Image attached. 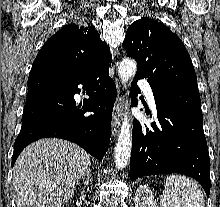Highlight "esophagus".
I'll return each instance as SVG.
<instances>
[{
  "label": "esophagus",
  "instance_id": "obj_1",
  "mask_svg": "<svg viewBox=\"0 0 220 207\" xmlns=\"http://www.w3.org/2000/svg\"><path fill=\"white\" fill-rule=\"evenodd\" d=\"M119 88H120V84H119ZM121 105H122V97L119 96L113 108V115H112V136L113 137H115L119 131L120 120H121Z\"/></svg>",
  "mask_w": 220,
  "mask_h": 207
}]
</instances>
